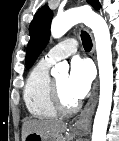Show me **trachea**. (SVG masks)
<instances>
[{"instance_id": "3493384b", "label": "trachea", "mask_w": 119, "mask_h": 141, "mask_svg": "<svg viewBox=\"0 0 119 141\" xmlns=\"http://www.w3.org/2000/svg\"><path fill=\"white\" fill-rule=\"evenodd\" d=\"M81 39H82V44H83L84 49L86 51L91 50V48H92V40H91L89 34L87 32H85V31H82Z\"/></svg>"}]
</instances>
